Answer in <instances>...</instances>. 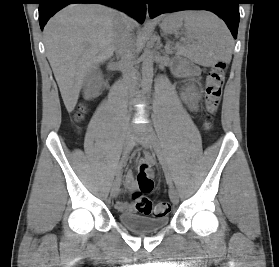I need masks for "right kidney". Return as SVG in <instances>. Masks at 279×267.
<instances>
[{"label": "right kidney", "mask_w": 279, "mask_h": 267, "mask_svg": "<svg viewBox=\"0 0 279 267\" xmlns=\"http://www.w3.org/2000/svg\"><path fill=\"white\" fill-rule=\"evenodd\" d=\"M95 77L96 76H93V77H91L89 80H88V89H87V91L85 92V96H86V98H88V97H90V95H91V93L93 92V91H95L96 90V88H98V86H99V79L94 83V79H95Z\"/></svg>", "instance_id": "1"}]
</instances>
